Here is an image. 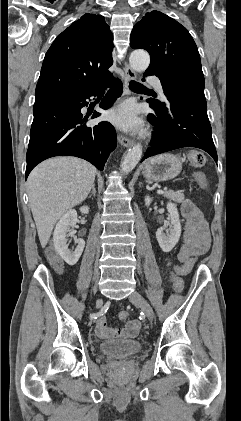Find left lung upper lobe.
<instances>
[{
    "label": "left lung upper lobe",
    "instance_id": "left-lung-upper-lobe-1",
    "mask_svg": "<svg viewBox=\"0 0 241 421\" xmlns=\"http://www.w3.org/2000/svg\"><path fill=\"white\" fill-rule=\"evenodd\" d=\"M130 46L149 52L151 63L146 72L156 74L163 84L204 89L197 46L187 29L171 17L159 11L146 13L132 30ZM164 93L167 96L169 91Z\"/></svg>",
    "mask_w": 241,
    "mask_h": 421
}]
</instances>
